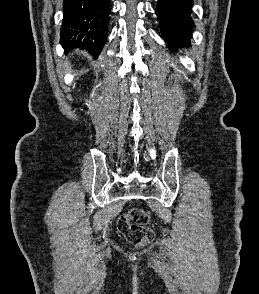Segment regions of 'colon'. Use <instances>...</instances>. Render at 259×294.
<instances>
[{
	"mask_svg": "<svg viewBox=\"0 0 259 294\" xmlns=\"http://www.w3.org/2000/svg\"><path fill=\"white\" fill-rule=\"evenodd\" d=\"M148 213L141 208H133L118 221V229L126 240L136 246H145L154 238L153 231L147 226Z\"/></svg>",
	"mask_w": 259,
	"mask_h": 294,
	"instance_id": "1",
	"label": "colon"
}]
</instances>
